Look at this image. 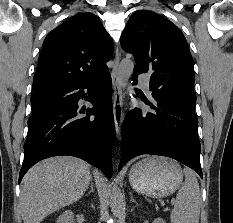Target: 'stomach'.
<instances>
[{
	"label": "stomach",
	"instance_id": "stomach-1",
	"mask_svg": "<svg viewBox=\"0 0 233 223\" xmlns=\"http://www.w3.org/2000/svg\"><path fill=\"white\" fill-rule=\"evenodd\" d=\"M129 181L133 189L141 195L167 197L179 189L183 181V171L173 159L147 155L132 165Z\"/></svg>",
	"mask_w": 233,
	"mask_h": 223
}]
</instances>
